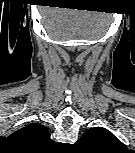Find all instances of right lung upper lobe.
Wrapping results in <instances>:
<instances>
[{
	"mask_svg": "<svg viewBox=\"0 0 135 153\" xmlns=\"http://www.w3.org/2000/svg\"><path fill=\"white\" fill-rule=\"evenodd\" d=\"M13 135L36 146H42L51 141L48 129L39 123H31L17 130Z\"/></svg>",
	"mask_w": 135,
	"mask_h": 153,
	"instance_id": "cb5924a9",
	"label": "right lung upper lobe"
}]
</instances>
